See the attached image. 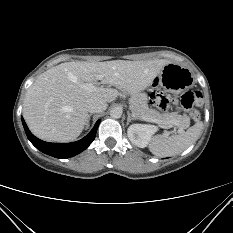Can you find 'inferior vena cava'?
I'll list each match as a JSON object with an SVG mask.
<instances>
[{"label":"inferior vena cava","mask_w":233,"mask_h":233,"mask_svg":"<svg viewBox=\"0 0 233 233\" xmlns=\"http://www.w3.org/2000/svg\"><path fill=\"white\" fill-rule=\"evenodd\" d=\"M85 108L90 113H101L107 109V103L98 98H89L86 100Z\"/></svg>","instance_id":"inferior-vena-cava-1"}]
</instances>
